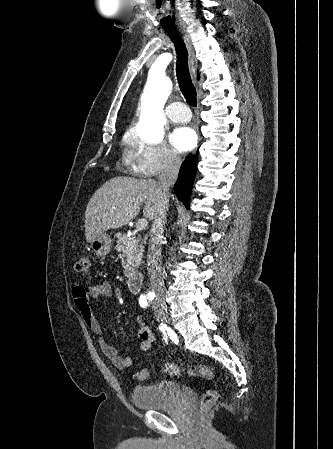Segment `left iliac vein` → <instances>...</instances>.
I'll list each match as a JSON object with an SVG mask.
<instances>
[{
    "mask_svg": "<svg viewBox=\"0 0 333 449\" xmlns=\"http://www.w3.org/2000/svg\"><path fill=\"white\" fill-rule=\"evenodd\" d=\"M158 318L161 319L163 322H167L168 321V314L166 309L162 308L160 309V311L158 312Z\"/></svg>",
    "mask_w": 333,
    "mask_h": 449,
    "instance_id": "obj_1",
    "label": "left iliac vein"
}]
</instances>
